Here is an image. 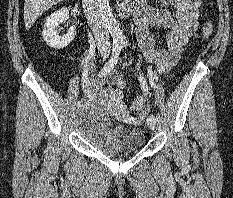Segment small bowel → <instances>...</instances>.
I'll list each match as a JSON object with an SVG mask.
<instances>
[{"mask_svg":"<svg viewBox=\"0 0 233 198\" xmlns=\"http://www.w3.org/2000/svg\"><path fill=\"white\" fill-rule=\"evenodd\" d=\"M168 2L174 6V12L152 8L143 3L136 14L138 46L145 59L153 64L160 73L169 71L177 64L183 46L198 28L199 11L191 4V0H168ZM150 26L167 28V48H156L149 33ZM114 85L116 88L113 87ZM124 87L123 74L112 69L105 76L97 79L91 68L83 90L88 100L100 102L108 106L116 115L135 121L134 118L128 116L122 101Z\"/></svg>","mask_w":233,"mask_h":198,"instance_id":"obj_1","label":"small bowel"}]
</instances>
